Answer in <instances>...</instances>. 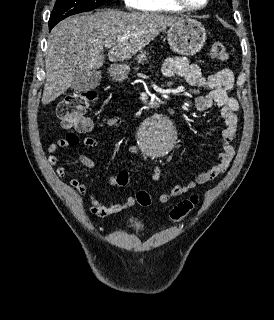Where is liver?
I'll use <instances>...</instances> for the list:
<instances>
[{
    "instance_id": "6515ba94",
    "label": "liver",
    "mask_w": 274,
    "mask_h": 320,
    "mask_svg": "<svg viewBox=\"0 0 274 320\" xmlns=\"http://www.w3.org/2000/svg\"><path fill=\"white\" fill-rule=\"evenodd\" d=\"M177 20L181 18L118 10H96L95 14H76L62 20L47 42L42 104H50L64 94L72 86L75 72L102 68L105 60L101 52L108 42H112L109 62H124Z\"/></svg>"
}]
</instances>
